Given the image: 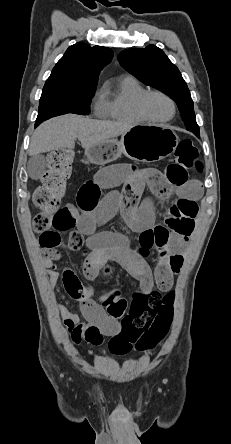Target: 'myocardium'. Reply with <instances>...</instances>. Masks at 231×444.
<instances>
[{
    "label": "myocardium",
    "instance_id": "obj_1",
    "mask_svg": "<svg viewBox=\"0 0 231 444\" xmlns=\"http://www.w3.org/2000/svg\"><path fill=\"white\" fill-rule=\"evenodd\" d=\"M151 95H160L164 98H166L172 106V114L169 118L167 119H157L152 117L151 115H149V113L146 110V101L148 99L149 96ZM136 111L138 113V115L145 121L147 122H152V123H167L170 122L176 115L177 112V105L174 101V99L168 95L167 93L161 91V90H146L144 91L137 99L136 101Z\"/></svg>",
    "mask_w": 231,
    "mask_h": 444
}]
</instances>
